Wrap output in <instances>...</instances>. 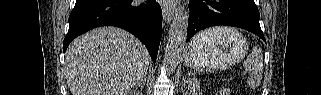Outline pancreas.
<instances>
[{"label": "pancreas", "instance_id": "cf45deb5", "mask_svg": "<svg viewBox=\"0 0 321 95\" xmlns=\"http://www.w3.org/2000/svg\"><path fill=\"white\" fill-rule=\"evenodd\" d=\"M188 84H189L190 92L192 93V95H195L196 91H198L200 88L199 81L196 79H189Z\"/></svg>", "mask_w": 321, "mask_h": 95}]
</instances>
